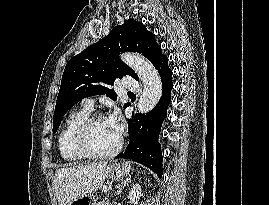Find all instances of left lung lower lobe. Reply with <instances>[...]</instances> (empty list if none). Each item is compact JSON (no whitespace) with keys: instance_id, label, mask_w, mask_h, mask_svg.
Returning a JSON list of instances; mask_svg holds the SVG:
<instances>
[{"instance_id":"1","label":"left lung lower lobe","mask_w":269,"mask_h":205,"mask_svg":"<svg viewBox=\"0 0 269 205\" xmlns=\"http://www.w3.org/2000/svg\"><path fill=\"white\" fill-rule=\"evenodd\" d=\"M155 68L161 76L162 97L156 107L146 114H136L128 122L129 144L125 151L118 154L115 159L124 158L138 162L162 177L161 146L158 142L162 122L167 116L170 103L172 83V70L168 66V58L164 55Z\"/></svg>"}]
</instances>
